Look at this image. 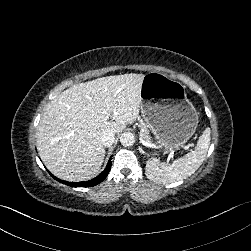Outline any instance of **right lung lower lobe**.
Here are the masks:
<instances>
[{
    "mask_svg": "<svg viewBox=\"0 0 251 251\" xmlns=\"http://www.w3.org/2000/svg\"><path fill=\"white\" fill-rule=\"evenodd\" d=\"M111 169V159L109 160L105 170L100 174L98 175L97 177H95L94 179H91L89 181H86V182H77V183H73V182H66V181H62L58 178H56L55 176H53L51 174V176L56 179L57 181L61 182V183H64L68 186H71V187H90V186H95L99 183H101L108 175L109 171Z\"/></svg>",
    "mask_w": 251,
    "mask_h": 251,
    "instance_id": "right-lung-lower-lobe-1",
    "label": "right lung lower lobe"
}]
</instances>
